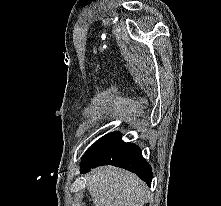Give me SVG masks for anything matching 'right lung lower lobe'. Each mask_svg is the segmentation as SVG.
<instances>
[{
	"label": "right lung lower lobe",
	"mask_w": 221,
	"mask_h": 206,
	"mask_svg": "<svg viewBox=\"0 0 221 206\" xmlns=\"http://www.w3.org/2000/svg\"><path fill=\"white\" fill-rule=\"evenodd\" d=\"M101 165H114L135 173L148 186L152 181V169L133 143L122 141L118 132L109 133L97 140L84 154L80 171L88 172Z\"/></svg>",
	"instance_id": "1"
}]
</instances>
